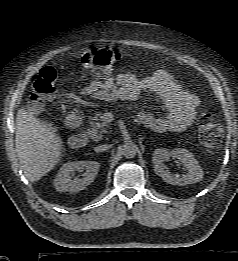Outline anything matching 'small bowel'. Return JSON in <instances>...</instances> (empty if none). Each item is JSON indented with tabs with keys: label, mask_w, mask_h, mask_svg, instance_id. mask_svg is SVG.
<instances>
[{
	"label": "small bowel",
	"mask_w": 238,
	"mask_h": 261,
	"mask_svg": "<svg viewBox=\"0 0 238 261\" xmlns=\"http://www.w3.org/2000/svg\"><path fill=\"white\" fill-rule=\"evenodd\" d=\"M146 92L162 100L166 114L154 116L141 112L139 121L143 125L156 132H165L182 131L192 124L200 101L167 70L161 69L148 76L126 71L103 80H93L82 89L84 95L100 101H136Z\"/></svg>",
	"instance_id": "obj_1"
}]
</instances>
